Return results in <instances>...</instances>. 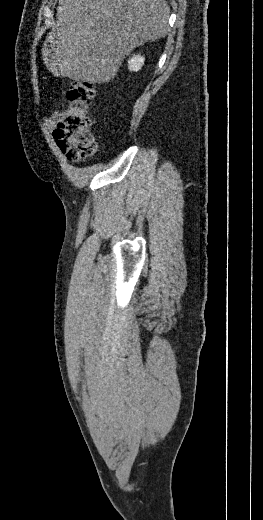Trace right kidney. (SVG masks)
Returning a JSON list of instances; mask_svg holds the SVG:
<instances>
[{"label": "right kidney", "mask_w": 263, "mask_h": 520, "mask_svg": "<svg viewBox=\"0 0 263 520\" xmlns=\"http://www.w3.org/2000/svg\"><path fill=\"white\" fill-rule=\"evenodd\" d=\"M144 60L145 58L142 57L141 55H136V56H133L131 59H129L128 61V68L130 71H139L143 64H144Z\"/></svg>", "instance_id": "obj_1"}]
</instances>
